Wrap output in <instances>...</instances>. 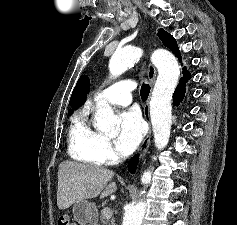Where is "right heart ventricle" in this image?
Wrapping results in <instances>:
<instances>
[{"label":"right heart ventricle","mask_w":237,"mask_h":225,"mask_svg":"<svg viewBox=\"0 0 237 225\" xmlns=\"http://www.w3.org/2000/svg\"><path fill=\"white\" fill-rule=\"evenodd\" d=\"M101 137V134L89 124L87 111H80L74 116L69 132L71 157L82 162L102 164L96 151V144Z\"/></svg>","instance_id":"e07e8e85"}]
</instances>
